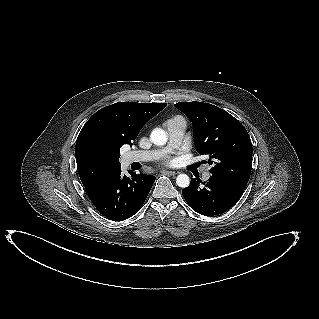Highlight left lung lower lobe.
I'll list each match as a JSON object with an SVG mask.
<instances>
[{
  "mask_svg": "<svg viewBox=\"0 0 319 319\" xmlns=\"http://www.w3.org/2000/svg\"><path fill=\"white\" fill-rule=\"evenodd\" d=\"M200 182L203 187H200ZM244 190L245 187L226 178L212 175L207 182L191 178L190 185L182 190V194L194 211L205 216H213L232 208Z\"/></svg>",
  "mask_w": 319,
  "mask_h": 319,
  "instance_id": "obj_1",
  "label": "left lung lower lobe"
}]
</instances>
